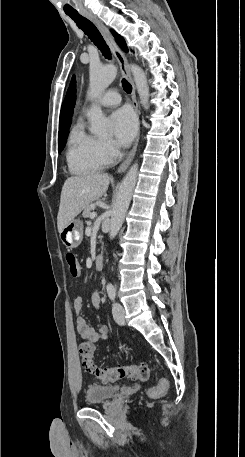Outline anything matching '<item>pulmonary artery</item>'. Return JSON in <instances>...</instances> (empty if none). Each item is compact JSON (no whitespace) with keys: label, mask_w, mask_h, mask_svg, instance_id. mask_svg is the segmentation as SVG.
Wrapping results in <instances>:
<instances>
[{"label":"pulmonary artery","mask_w":245,"mask_h":457,"mask_svg":"<svg viewBox=\"0 0 245 457\" xmlns=\"http://www.w3.org/2000/svg\"><path fill=\"white\" fill-rule=\"evenodd\" d=\"M120 101V96L116 91H108L106 95L97 99V103H100L102 106L117 105Z\"/></svg>","instance_id":"1"}]
</instances>
